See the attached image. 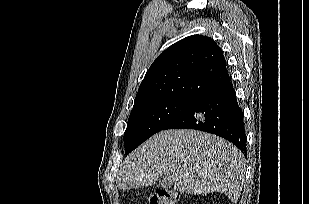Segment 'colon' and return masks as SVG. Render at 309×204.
I'll list each match as a JSON object with an SVG mask.
<instances>
[{
  "label": "colon",
  "instance_id": "colon-1",
  "mask_svg": "<svg viewBox=\"0 0 309 204\" xmlns=\"http://www.w3.org/2000/svg\"><path fill=\"white\" fill-rule=\"evenodd\" d=\"M178 193L170 189H157L149 197V204H176Z\"/></svg>",
  "mask_w": 309,
  "mask_h": 204
}]
</instances>
